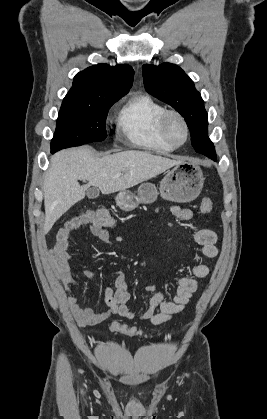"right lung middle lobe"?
Listing matches in <instances>:
<instances>
[{
    "mask_svg": "<svg viewBox=\"0 0 267 419\" xmlns=\"http://www.w3.org/2000/svg\"><path fill=\"white\" fill-rule=\"evenodd\" d=\"M120 98L122 96L88 100L64 99L51 141V152L105 140L107 112Z\"/></svg>",
    "mask_w": 267,
    "mask_h": 419,
    "instance_id": "1",
    "label": "right lung middle lobe"
}]
</instances>
